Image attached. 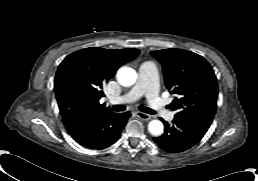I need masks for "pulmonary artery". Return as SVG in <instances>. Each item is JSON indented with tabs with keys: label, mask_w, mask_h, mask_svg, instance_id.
Instances as JSON below:
<instances>
[{
	"label": "pulmonary artery",
	"mask_w": 258,
	"mask_h": 181,
	"mask_svg": "<svg viewBox=\"0 0 258 181\" xmlns=\"http://www.w3.org/2000/svg\"><path fill=\"white\" fill-rule=\"evenodd\" d=\"M142 96L147 97L149 107L158 115L173 119L170 112L165 107L164 100L158 94V71L156 64L147 61L141 64L138 70L137 83L124 95L111 98L113 104L135 102Z\"/></svg>",
	"instance_id": "pulmonary-artery-1"
}]
</instances>
